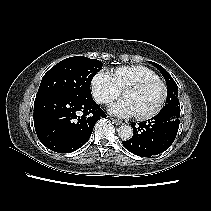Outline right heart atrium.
Masks as SVG:
<instances>
[{"instance_id":"1","label":"right heart atrium","mask_w":211,"mask_h":211,"mask_svg":"<svg viewBox=\"0 0 211 211\" xmlns=\"http://www.w3.org/2000/svg\"><path fill=\"white\" fill-rule=\"evenodd\" d=\"M90 87L94 99L100 104H109L122 92L114 75L104 69L92 77Z\"/></svg>"}]
</instances>
